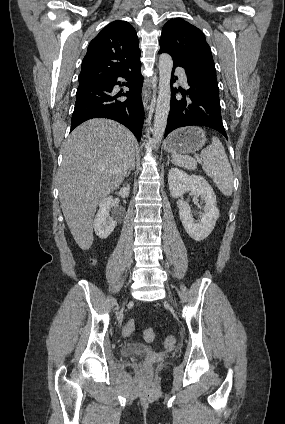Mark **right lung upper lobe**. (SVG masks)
I'll return each mask as SVG.
<instances>
[{"mask_svg":"<svg viewBox=\"0 0 285 424\" xmlns=\"http://www.w3.org/2000/svg\"><path fill=\"white\" fill-rule=\"evenodd\" d=\"M137 33L126 21L108 24L90 42L82 61L79 85L108 79L140 65Z\"/></svg>","mask_w":285,"mask_h":424,"instance_id":"right-lung-upper-lobe-1","label":"right lung upper lobe"}]
</instances>
